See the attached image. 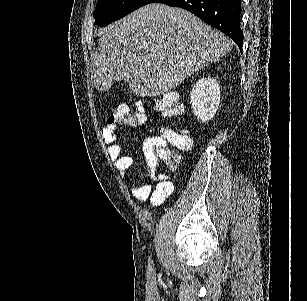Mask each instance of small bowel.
Here are the masks:
<instances>
[{"instance_id": "small-bowel-1", "label": "small bowel", "mask_w": 307, "mask_h": 301, "mask_svg": "<svg viewBox=\"0 0 307 301\" xmlns=\"http://www.w3.org/2000/svg\"><path fill=\"white\" fill-rule=\"evenodd\" d=\"M105 143L109 144L108 153L115 162V167L122 178L127 176L128 170L133 164V158L123 153V147L117 143V125L106 124L102 130ZM159 136L147 137L143 142V153L146 161V169L149 181L141 183L130 190L131 197L135 201L149 200V206L156 208L161 206L174 192L172 180L165 174L157 173L158 157L155 148L161 144ZM156 183L153 185L152 183Z\"/></svg>"}]
</instances>
